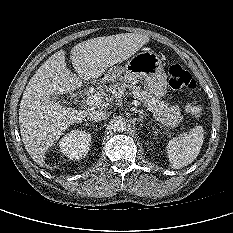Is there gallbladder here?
<instances>
[{
	"label": "gallbladder",
	"mask_w": 233,
	"mask_h": 233,
	"mask_svg": "<svg viewBox=\"0 0 233 233\" xmlns=\"http://www.w3.org/2000/svg\"><path fill=\"white\" fill-rule=\"evenodd\" d=\"M54 99L58 102H60L61 104H64L65 102L60 98V96H55Z\"/></svg>",
	"instance_id": "bac80fb5"
}]
</instances>
